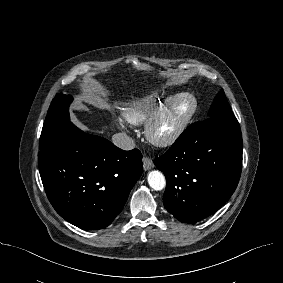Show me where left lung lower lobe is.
I'll return each mask as SVG.
<instances>
[{"label":"left lung lower lobe","mask_w":283,"mask_h":283,"mask_svg":"<svg viewBox=\"0 0 283 283\" xmlns=\"http://www.w3.org/2000/svg\"><path fill=\"white\" fill-rule=\"evenodd\" d=\"M242 135L234 115L191 124L154 164L166 177L163 203L185 223L217 211L235 191L242 168Z\"/></svg>","instance_id":"1"}]
</instances>
